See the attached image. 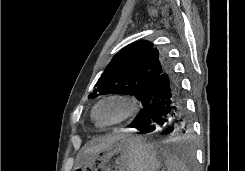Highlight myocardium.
Masks as SVG:
<instances>
[{"instance_id":"myocardium-1","label":"myocardium","mask_w":245,"mask_h":171,"mask_svg":"<svg viewBox=\"0 0 245 171\" xmlns=\"http://www.w3.org/2000/svg\"><path fill=\"white\" fill-rule=\"evenodd\" d=\"M107 101H118L124 105L125 111L123 115L117 120H114L111 122H104L98 118L97 110L99 106ZM137 110H138V101L135 97L126 95V94H111V95L103 97L96 103V105L94 106L92 115H93L94 120L98 124L108 127V126L118 125V124H121L127 121L136 113Z\"/></svg>"}]
</instances>
